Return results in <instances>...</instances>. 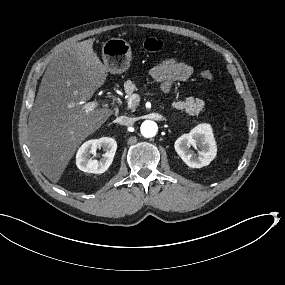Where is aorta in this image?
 <instances>
[{
  "label": "aorta",
  "mask_w": 285,
  "mask_h": 285,
  "mask_svg": "<svg viewBox=\"0 0 285 285\" xmlns=\"http://www.w3.org/2000/svg\"><path fill=\"white\" fill-rule=\"evenodd\" d=\"M141 134L145 138H152L157 134L158 127L154 121H145L141 125Z\"/></svg>",
  "instance_id": "762f6f07"
}]
</instances>
